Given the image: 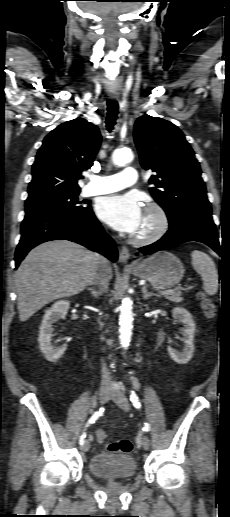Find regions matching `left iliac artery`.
<instances>
[{
	"label": "left iliac artery",
	"instance_id": "left-iliac-artery-1",
	"mask_svg": "<svg viewBox=\"0 0 230 517\" xmlns=\"http://www.w3.org/2000/svg\"><path fill=\"white\" fill-rule=\"evenodd\" d=\"M130 401L132 402V404L134 405L135 408H137V409L141 408V403L139 401V398L134 391H131ZM143 430L148 432L150 430V425L148 423H145Z\"/></svg>",
	"mask_w": 230,
	"mask_h": 517
}]
</instances>
